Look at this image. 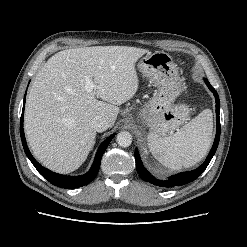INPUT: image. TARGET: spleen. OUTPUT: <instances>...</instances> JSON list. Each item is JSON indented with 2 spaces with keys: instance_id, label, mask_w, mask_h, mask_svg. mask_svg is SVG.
<instances>
[{
  "instance_id": "1",
  "label": "spleen",
  "mask_w": 247,
  "mask_h": 247,
  "mask_svg": "<svg viewBox=\"0 0 247 247\" xmlns=\"http://www.w3.org/2000/svg\"><path fill=\"white\" fill-rule=\"evenodd\" d=\"M212 130V112L206 109L173 135H148L149 149L155 159L170 169L189 168L208 152Z\"/></svg>"
}]
</instances>
